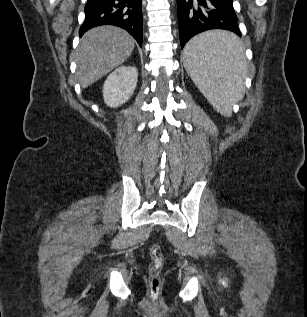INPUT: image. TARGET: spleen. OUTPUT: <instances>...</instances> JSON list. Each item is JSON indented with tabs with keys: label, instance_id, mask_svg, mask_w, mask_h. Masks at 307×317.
<instances>
[{
	"label": "spleen",
	"instance_id": "1",
	"mask_svg": "<svg viewBox=\"0 0 307 317\" xmlns=\"http://www.w3.org/2000/svg\"><path fill=\"white\" fill-rule=\"evenodd\" d=\"M245 43L234 33L212 31L191 39L184 49V67L211 105L229 117L243 98Z\"/></svg>",
	"mask_w": 307,
	"mask_h": 317
}]
</instances>
